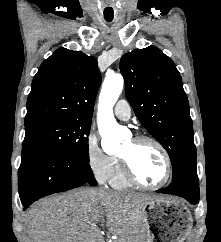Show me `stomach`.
<instances>
[{
  "label": "stomach",
  "instance_id": "1",
  "mask_svg": "<svg viewBox=\"0 0 221 242\" xmlns=\"http://www.w3.org/2000/svg\"><path fill=\"white\" fill-rule=\"evenodd\" d=\"M145 242H184L193 225L189 209L176 198L156 197L141 209Z\"/></svg>",
  "mask_w": 221,
  "mask_h": 242
}]
</instances>
